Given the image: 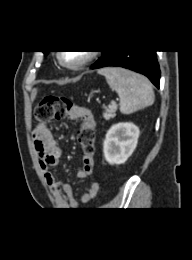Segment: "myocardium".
Wrapping results in <instances>:
<instances>
[{
	"label": "myocardium",
	"mask_w": 192,
	"mask_h": 260,
	"mask_svg": "<svg viewBox=\"0 0 192 260\" xmlns=\"http://www.w3.org/2000/svg\"><path fill=\"white\" fill-rule=\"evenodd\" d=\"M94 56H95L94 52L85 51V56L81 60H79L76 63H68L64 60L63 52H59L58 60L61 63V65H63L64 67L69 68L71 70H78V69L84 67L85 65H87L90 61H92Z\"/></svg>",
	"instance_id": "obj_1"
}]
</instances>
